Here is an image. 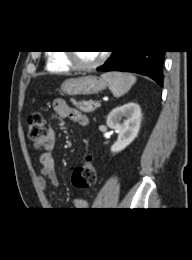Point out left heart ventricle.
<instances>
[{"label":"left heart ventricle","mask_w":192,"mask_h":260,"mask_svg":"<svg viewBox=\"0 0 192 260\" xmlns=\"http://www.w3.org/2000/svg\"><path fill=\"white\" fill-rule=\"evenodd\" d=\"M78 61L82 64H91L100 57V52L96 51H80L76 53Z\"/></svg>","instance_id":"b2bd125f"}]
</instances>
